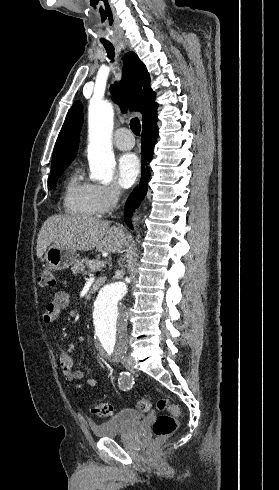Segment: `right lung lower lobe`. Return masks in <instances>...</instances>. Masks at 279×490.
Instances as JSON below:
<instances>
[{
    "mask_svg": "<svg viewBox=\"0 0 279 490\" xmlns=\"http://www.w3.org/2000/svg\"><path fill=\"white\" fill-rule=\"evenodd\" d=\"M158 136V128H148L143 130L142 144H141V156H142V176L139 186L134 189L125 204L124 219L127 225L132 228L130 217L134 207L138 206L143 200L144 195L147 192L148 181L150 177V171L148 168V162L153 158V147L155 145Z\"/></svg>",
    "mask_w": 279,
    "mask_h": 490,
    "instance_id": "98d812e1",
    "label": "right lung lower lobe"
}]
</instances>
